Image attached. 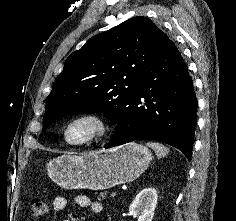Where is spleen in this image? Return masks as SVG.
Masks as SVG:
<instances>
[{
  "label": "spleen",
  "instance_id": "1",
  "mask_svg": "<svg viewBox=\"0 0 236 221\" xmlns=\"http://www.w3.org/2000/svg\"><path fill=\"white\" fill-rule=\"evenodd\" d=\"M146 145L148 147L152 148L159 158L164 157L166 154L169 153V148H167L166 146H164L161 143H158V142H147Z\"/></svg>",
  "mask_w": 236,
  "mask_h": 221
}]
</instances>
